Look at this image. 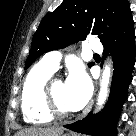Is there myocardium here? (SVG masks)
<instances>
[{
  "instance_id": "1",
  "label": "myocardium",
  "mask_w": 136,
  "mask_h": 136,
  "mask_svg": "<svg viewBox=\"0 0 136 136\" xmlns=\"http://www.w3.org/2000/svg\"><path fill=\"white\" fill-rule=\"evenodd\" d=\"M58 81L57 78L51 77L44 87V103L48 113L55 118H67L72 115L70 111L62 110L54 97L53 86Z\"/></svg>"
}]
</instances>
